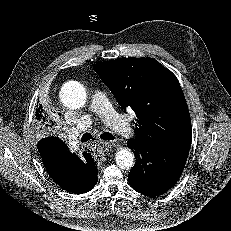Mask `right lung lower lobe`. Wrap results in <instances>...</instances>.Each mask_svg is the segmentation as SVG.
Here are the masks:
<instances>
[{
    "label": "right lung lower lobe",
    "instance_id": "1",
    "mask_svg": "<svg viewBox=\"0 0 231 231\" xmlns=\"http://www.w3.org/2000/svg\"><path fill=\"white\" fill-rule=\"evenodd\" d=\"M38 151L50 177L63 189L82 194L90 191L98 180L94 158L89 153L74 159L71 166H64L72 157L68 146L57 137L43 138L38 143ZM71 177L70 180H67Z\"/></svg>",
    "mask_w": 231,
    "mask_h": 231
}]
</instances>
